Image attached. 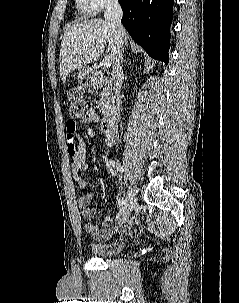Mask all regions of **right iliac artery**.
Masks as SVG:
<instances>
[{"label":"right iliac artery","instance_id":"obj_1","mask_svg":"<svg viewBox=\"0 0 239 303\" xmlns=\"http://www.w3.org/2000/svg\"><path fill=\"white\" fill-rule=\"evenodd\" d=\"M109 164H110L113 168L117 169V171H120V172L123 171V168L121 167V165H120L119 163H117L116 161L110 160V161H109ZM124 203H125V200H124L123 197L120 198V199L118 200V205H119V207H122V206L124 205Z\"/></svg>","mask_w":239,"mask_h":303}]
</instances>
